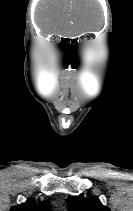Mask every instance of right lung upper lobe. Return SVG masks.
Here are the masks:
<instances>
[{
    "label": "right lung upper lobe",
    "instance_id": "right-lung-upper-lobe-1",
    "mask_svg": "<svg viewBox=\"0 0 133 211\" xmlns=\"http://www.w3.org/2000/svg\"><path fill=\"white\" fill-rule=\"evenodd\" d=\"M10 211H50V203L45 200L37 204L33 200H28L26 203L11 207Z\"/></svg>",
    "mask_w": 133,
    "mask_h": 211
}]
</instances>
